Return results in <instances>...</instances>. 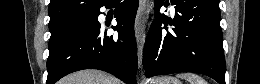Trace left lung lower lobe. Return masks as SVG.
<instances>
[{"label": "left lung lower lobe", "mask_w": 260, "mask_h": 84, "mask_svg": "<svg viewBox=\"0 0 260 84\" xmlns=\"http://www.w3.org/2000/svg\"><path fill=\"white\" fill-rule=\"evenodd\" d=\"M164 0H155L156 20L145 42L146 77L179 72L205 74L225 84V57L218 0H171L175 18L158 13ZM169 5L168 1L165 2ZM164 3V4H165ZM174 25L163 31L161 23Z\"/></svg>", "instance_id": "obj_1"}]
</instances>
